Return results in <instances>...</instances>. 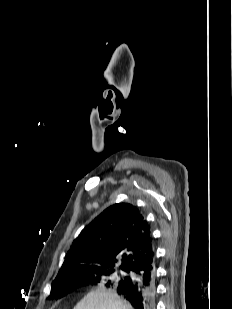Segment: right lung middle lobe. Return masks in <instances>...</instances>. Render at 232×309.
<instances>
[{
    "label": "right lung middle lobe",
    "instance_id": "1",
    "mask_svg": "<svg viewBox=\"0 0 232 309\" xmlns=\"http://www.w3.org/2000/svg\"><path fill=\"white\" fill-rule=\"evenodd\" d=\"M114 270H100L91 273L83 274L71 281L60 282L52 286L51 295L63 297L72 292L76 287L88 284L102 283L107 287H117L125 279L126 276L112 277Z\"/></svg>",
    "mask_w": 232,
    "mask_h": 309
}]
</instances>
